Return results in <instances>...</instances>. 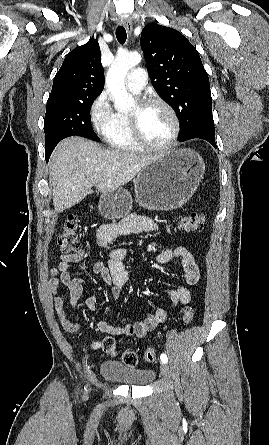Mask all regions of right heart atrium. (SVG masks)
<instances>
[{"mask_svg":"<svg viewBox=\"0 0 269 445\" xmlns=\"http://www.w3.org/2000/svg\"><path fill=\"white\" fill-rule=\"evenodd\" d=\"M89 114L90 119L97 130H102L109 122L113 115V111L106 92H102L94 99L91 103Z\"/></svg>","mask_w":269,"mask_h":445,"instance_id":"d8ad5b80","label":"right heart atrium"}]
</instances>
